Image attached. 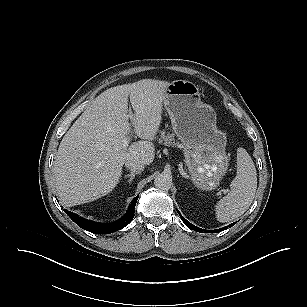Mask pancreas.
<instances>
[{
	"label": "pancreas",
	"instance_id": "1",
	"mask_svg": "<svg viewBox=\"0 0 307 307\" xmlns=\"http://www.w3.org/2000/svg\"><path fill=\"white\" fill-rule=\"evenodd\" d=\"M158 142L166 146L181 147V144L175 141L174 134L166 133L165 131H160Z\"/></svg>",
	"mask_w": 307,
	"mask_h": 307
}]
</instances>
